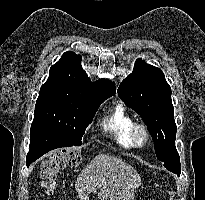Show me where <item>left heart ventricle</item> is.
<instances>
[{
  "instance_id": "1",
  "label": "left heart ventricle",
  "mask_w": 205,
  "mask_h": 200,
  "mask_svg": "<svg viewBox=\"0 0 205 200\" xmlns=\"http://www.w3.org/2000/svg\"><path fill=\"white\" fill-rule=\"evenodd\" d=\"M144 140V137L142 135H139V141L142 142Z\"/></svg>"
}]
</instances>
